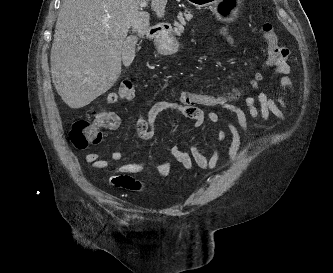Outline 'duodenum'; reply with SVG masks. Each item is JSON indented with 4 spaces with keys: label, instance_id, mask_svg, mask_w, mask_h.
<instances>
[{
    "label": "duodenum",
    "instance_id": "duodenum-1",
    "mask_svg": "<svg viewBox=\"0 0 333 273\" xmlns=\"http://www.w3.org/2000/svg\"><path fill=\"white\" fill-rule=\"evenodd\" d=\"M161 30H162V27L159 25L152 27L149 29V35L151 37H155L156 35H158L161 32Z\"/></svg>",
    "mask_w": 333,
    "mask_h": 273
}]
</instances>
